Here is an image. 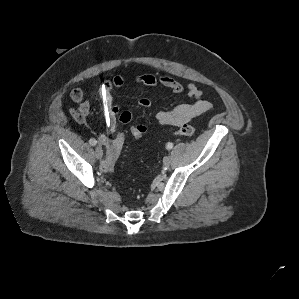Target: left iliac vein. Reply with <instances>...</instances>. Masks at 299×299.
I'll return each mask as SVG.
<instances>
[{
  "label": "left iliac vein",
  "mask_w": 299,
  "mask_h": 299,
  "mask_svg": "<svg viewBox=\"0 0 299 299\" xmlns=\"http://www.w3.org/2000/svg\"><path fill=\"white\" fill-rule=\"evenodd\" d=\"M170 162H171V160H170V157L169 156H165L164 158H163V165H164V167H169V165H170Z\"/></svg>",
  "instance_id": "obj_1"
}]
</instances>
